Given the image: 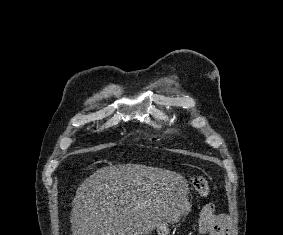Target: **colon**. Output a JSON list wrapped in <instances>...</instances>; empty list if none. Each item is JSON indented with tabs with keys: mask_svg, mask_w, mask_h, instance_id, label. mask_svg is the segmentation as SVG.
Masks as SVG:
<instances>
[{
	"mask_svg": "<svg viewBox=\"0 0 283 235\" xmlns=\"http://www.w3.org/2000/svg\"><path fill=\"white\" fill-rule=\"evenodd\" d=\"M191 182L194 189L201 195L207 196L209 193V183L207 179L200 174H194L191 177Z\"/></svg>",
	"mask_w": 283,
	"mask_h": 235,
	"instance_id": "5ec220e1",
	"label": "colon"
}]
</instances>
